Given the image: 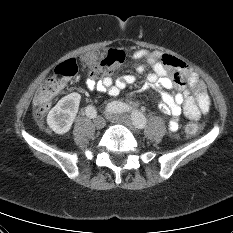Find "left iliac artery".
Listing matches in <instances>:
<instances>
[{"instance_id":"1","label":"left iliac artery","mask_w":233,"mask_h":233,"mask_svg":"<svg viewBox=\"0 0 233 233\" xmlns=\"http://www.w3.org/2000/svg\"><path fill=\"white\" fill-rule=\"evenodd\" d=\"M107 110L114 113H121V112H128L131 110V108L125 103L113 102L107 106ZM131 117L133 120V124L137 128L142 129L146 126V118L142 113L138 112L137 110L136 111L134 110L131 113Z\"/></svg>"}]
</instances>
